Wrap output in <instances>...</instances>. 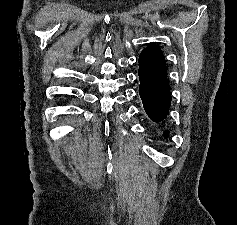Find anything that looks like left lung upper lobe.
<instances>
[{"label":"left lung upper lobe","instance_id":"5c2ea615","mask_svg":"<svg viewBox=\"0 0 237 225\" xmlns=\"http://www.w3.org/2000/svg\"><path fill=\"white\" fill-rule=\"evenodd\" d=\"M139 76L153 81H167L165 58L157 46H148L139 57Z\"/></svg>","mask_w":237,"mask_h":225}]
</instances>
